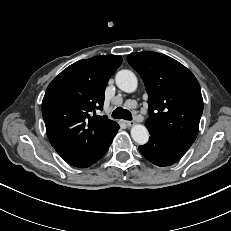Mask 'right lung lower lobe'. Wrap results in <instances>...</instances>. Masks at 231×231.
Listing matches in <instances>:
<instances>
[{
	"instance_id": "98d812e1",
	"label": "right lung lower lobe",
	"mask_w": 231,
	"mask_h": 231,
	"mask_svg": "<svg viewBox=\"0 0 231 231\" xmlns=\"http://www.w3.org/2000/svg\"><path fill=\"white\" fill-rule=\"evenodd\" d=\"M118 129H119V127H118ZM118 129L116 130V133H117V131H118ZM115 133V134H116ZM115 136V135H114ZM112 141V140H111ZM111 141L99 152V154L96 156V158L88 165V166H90V165H92V164H94L96 161H98L100 158H102V156L106 153V151L108 150V148H109V146H110V144H111ZM87 166V167H88Z\"/></svg>"
}]
</instances>
